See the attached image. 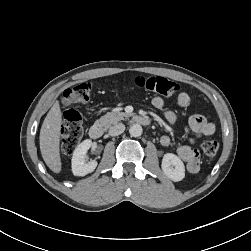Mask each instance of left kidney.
<instances>
[{"label": "left kidney", "mask_w": 251, "mask_h": 251, "mask_svg": "<svg viewBox=\"0 0 251 251\" xmlns=\"http://www.w3.org/2000/svg\"><path fill=\"white\" fill-rule=\"evenodd\" d=\"M161 167L164 174L174 182H179L185 177V166L173 153H166L163 156Z\"/></svg>", "instance_id": "left-kidney-1"}]
</instances>
